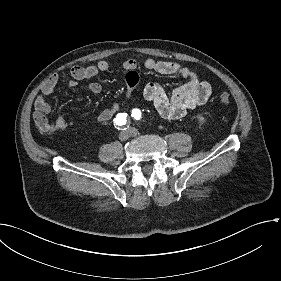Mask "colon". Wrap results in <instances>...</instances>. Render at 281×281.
<instances>
[{"mask_svg": "<svg viewBox=\"0 0 281 281\" xmlns=\"http://www.w3.org/2000/svg\"><path fill=\"white\" fill-rule=\"evenodd\" d=\"M218 100L221 104H228V103H230V96L227 94H221L218 97Z\"/></svg>", "mask_w": 281, "mask_h": 281, "instance_id": "obj_1", "label": "colon"}]
</instances>
